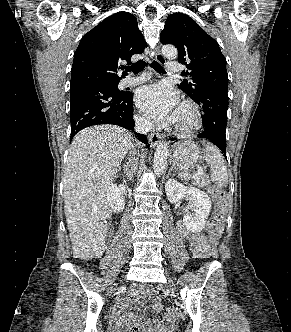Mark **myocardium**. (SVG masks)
Listing matches in <instances>:
<instances>
[{"label":"myocardium","mask_w":291,"mask_h":332,"mask_svg":"<svg viewBox=\"0 0 291 332\" xmlns=\"http://www.w3.org/2000/svg\"><path fill=\"white\" fill-rule=\"evenodd\" d=\"M178 111L186 113L187 123L180 124L177 121H175L174 122L175 132L182 135H188L196 132L201 127L202 124L201 114L198 106L194 102L191 101L182 102Z\"/></svg>","instance_id":"myocardium-1"}]
</instances>
